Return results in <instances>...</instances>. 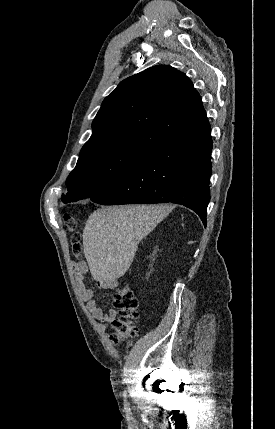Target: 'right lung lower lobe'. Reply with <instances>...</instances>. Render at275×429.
I'll return each mask as SVG.
<instances>
[{"instance_id":"1","label":"right lung lower lobe","mask_w":275,"mask_h":429,"mask_svg":"<svg viewBox=\"0 0 275 429\" xmlns=\"http://www.w3.org/2000/svg\"><path fill=\"white\" fill-rule=\"evenodd\" d=\"M210 127L173 140L108 190L92 196L104 205L177 203L194 210L206 226L210 200Z\"/></svg>"}]
</instances>
